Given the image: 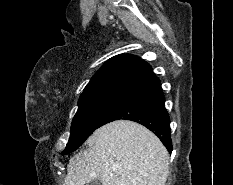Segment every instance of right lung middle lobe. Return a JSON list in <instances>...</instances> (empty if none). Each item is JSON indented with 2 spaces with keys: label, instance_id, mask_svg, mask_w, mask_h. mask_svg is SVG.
<instances>
[{
  "label": "right lung middle lobe",
  "instance_id": "dd1d6c3e",
  "mask_svg": "<svg viewBox=\"0 0 233 185\" xmlns=\"http://www.w3.org/2000/svg\"><path fill=\"white\" fill-rule=\"evenodd\" d=\"M128 92L126 89L112 88L82 94L72 121L70 139L62 154L75 151Z\"/></svg>",
  "mask_w": 233,
  "mask_h": 185
}]
</instances>
